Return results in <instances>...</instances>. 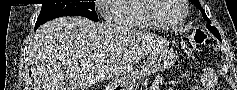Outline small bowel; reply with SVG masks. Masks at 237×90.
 Instances as JSON below:
<instances>
[{
	"mask_svg": "<svg viewBox=\"0 0 237 90\" xmlns=\"http://www.w3.org/2000/svg\"><path fill=\"white\" fill-rule=\"evenodd\" d=\"M186 73H188V71H186ZM163 81V77L157 76L150 90H161V85L163 84ZM215 83V74L210 69L205 68L200 77V84L193 86L190 90H214Z\"/></svg>",
	"mask_w": 237,
	"mask_h": 90,
	"instance_id": "small-bowel-1",
	"label": "small bowel"
}]
</instances>
